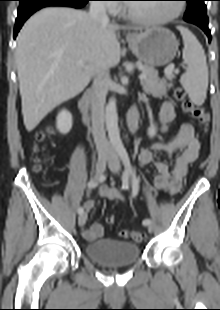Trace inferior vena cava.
I'll return each instance as SVG.
<instances>
[{"instance_id":"602c4592","label":"inferior vena cava","mask_w":220,"mask_h":310,"mask_svg":"<svg viewBox=\"0 0 220 310\" xmlns=\"http://www.w3.org/2000/svg\"><path fill=\"white\" fill-rule=\"evenodd\" d=\"M89 16L99 24H108L109 17L102 1H91ZM108 67H103L94 73L91 99L92 134L99 156L112 154L113 148L106 138L104 129V105L106 101V78Z\"/></svg>"}]
</instances>
